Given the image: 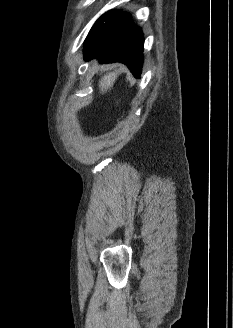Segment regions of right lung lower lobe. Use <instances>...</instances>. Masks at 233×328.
Returning a JSON list of instances; mask_svg holds the SVG:
<instances>
[{
	"label": "right lung lower lobe",
	"mask_w": 233,
	"mask_h": 328,
	"mask_svg": "<svg viewBox=\"0 0 233 328\" xmlns=\"http://www.w3.org/2000/svg\"><path fill=\"white\" fill-rule=\"evenodd\" d=\"M144 39L127 13L111 10L102 15L90 30L84 49L86 61L97 58L101 63L122 62L133 75L140 77Z\"/></svg>",
	"instance_id": "1"
}]
</instances>
